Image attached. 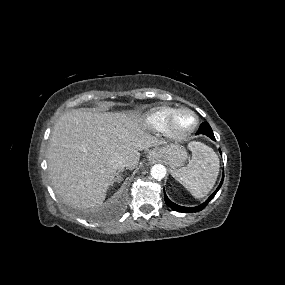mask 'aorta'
<instances>
[{
  "label": "aorta",
  "instance_id": "1",
  "mask_svg": "<svg viewBox=\"0 0 285 285\" xmlns=\"http://www.w3.org/2000/svg\"><path fill=\"white\" fill-rule=\"evenodd\" d=\"M151 176L156 180H161L166 175V168L161 164H156L151 168Z\"/></svg>",
  "mask_w": 285,
  "mask_h": 285
}]
</instances>
